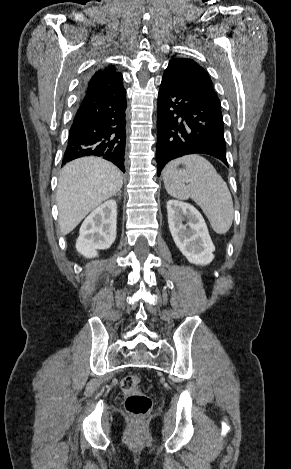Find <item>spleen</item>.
I'll return each instance as SVG.
<instances>
[{
    "label": "spleen",
    "instance_id": "spleen-1",
    "mask_svg": "<svg viewBox=\"0 0 291 469\" xmlns=\"http://www.w3.org/2000/svg\"><path fill=\"white\" fill-rule=\"evenodd\" d=\"M180 164L185 167L178 169ZM162 176L168 194L180 200L191 198L217 234L228 232L234 218L232 196L208 160L196 154L178 158L165 166Z\"/></svg>",
    "mask_w": 291,
    "mask_h": 469
}]
</instances>
